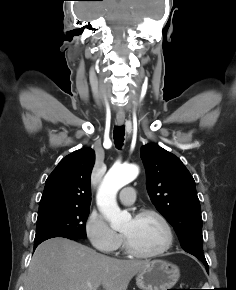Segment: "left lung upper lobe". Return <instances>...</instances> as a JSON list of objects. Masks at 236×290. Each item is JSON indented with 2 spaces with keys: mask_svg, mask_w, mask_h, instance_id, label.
Instances as JSON below:
<instances>
[{
  "mask_svg": "<svg viewBox=\"0 0 236 290\" xmlns=\"http://www.w3.org/2000/svg\"><path fill=\"white\" fill-rule=\"evenodd\" d=\"M146 187L156 209L174 227L182 248L208 265L195 181L181 160L157 144L142 146Z\"/></svg>",
  "mask_w": 236,
  "mask_h": 290,
  "instance_id": "1",
  "label": "left lung upper lobe"
}]
</instances>
